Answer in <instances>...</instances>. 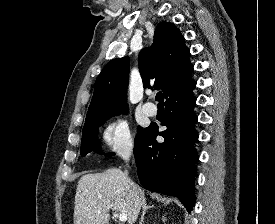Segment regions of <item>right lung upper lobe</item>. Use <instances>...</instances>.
<instances>
[{"label": "right lung upper lobe", "mask_w": 275, "mask_h": 224, "mask_svg": "<svg viewBox=\"0 0 275 224\" xmlns=\"http://www.w3.org/2000/svg\"><path fill=\"white\" fill-rule=\"evenodd\" d=\"M190 52L178 28L170 22L157 25L153 44L139 55V70L144 88L161 89L167 98L191 80L193 64ZM129 58L109 61L99 74L84 127L121 112H127L126 88Z\"/></svg>", "instance_id": "right-lung-upper-lobe-1"}]
</instances>
